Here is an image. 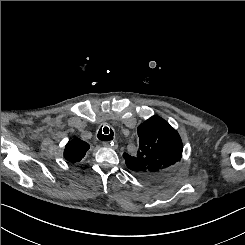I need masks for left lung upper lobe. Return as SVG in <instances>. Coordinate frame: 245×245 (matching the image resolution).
I'll list each match as a JSON object with an SVG mask.
<instances>
[{
	"label": "left lung upper lobe",
	"instance_id": "5c2ea615",
	"mask_svg": "<svg viewBox=\"0 0 245 245\" xmlns=\"http://www.w3.org/2000/svg\"><path fill=\"white\" fill-rule=\"evenodd\" d=\"M139 150L136 156L123 154L127 167L138 177L158 180L172 171L182 157L178 132L159 116L138 126Z\"/></svg>",
	"mask_w": 245,
	"mask_h": 245
}]
</instances>
